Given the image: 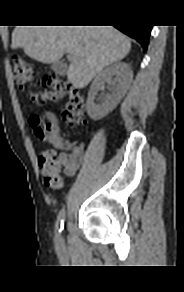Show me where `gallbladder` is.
<instances>
[{
	"mask_svg": "<svg viewBox=\"0 0 184 292\" xmlns=\"http://www.w3.org/2000/svg\"><path fill=\"white\" fill-rule=\"evenodd\" d=\"M51 69L55 72L57 75L64 76L67 73V65L62 62H55L52 63Z\"/></svg>",
	"mask_w": 184,
	"mask_h": 292,
	"instance_id": "bac80fb5",
	"label": "gallbladder"
}]
</instances>
